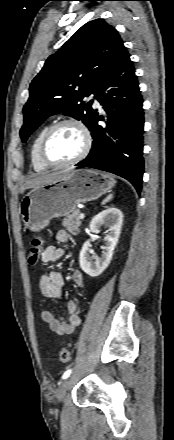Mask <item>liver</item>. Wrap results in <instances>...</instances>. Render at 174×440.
Wrapping results in <instances>:
<instances>
[{
  "label": "liver",
  "instance_id": "liver-1",
  "mask_svg": "<svg viewBox=\"0 0 174 440\" xmlns=\"http://www.w3.org/2000/svg\"><path fill=\"white\" fill-rule=\"evenodd\" d=\"M63 174H65V172H56V173L41 175L33 179H30L23 185L22 191L54 181L60 178Z\"/></svg>",
  "mask_w": 174,
  "mask_h": 440
}]
</instances>
